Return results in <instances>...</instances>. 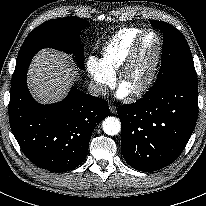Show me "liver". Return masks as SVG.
Masks as SVG:
<instances>
[{
    "instance_id": "obj_1",
    "label": "liver",
    "mask_w": 206,
    "mask_h": 206,
    "mask_svg": "<svg viewBox=\"0 0 206 206\" xmlns=\"http://www.w3.org/2000/svg\"><path fill=\"white\" fill-rule=\"evenodd\" d=\"M77 76L65 54L51 49L41 50L28 70V87L41 103L59 101Z\"/></svg>"
}]
</instances>
